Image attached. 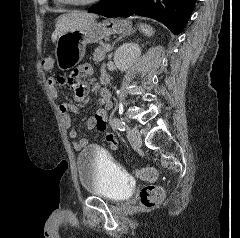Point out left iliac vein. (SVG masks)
<instances>
[{"label": "left iliac vein", "instance_id": "obj_1", "mask_svg": "<svg viewBox=\"0 0 240 238\" xmlns=\"http://www.w3.org/2000/svg\"><path fill=\"white\" fill-rule=\"evenodd\" d=\"M127 138L133 147H139L142 144L141 135L137 128H129Z\"/></svg>", "mask_w": 240, "mask_h": 238}]
</instances>
